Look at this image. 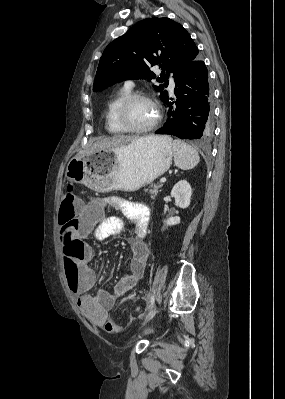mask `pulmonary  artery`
I'll return each instance as SVG.
<instances>
[{
  "instance_id": "e3ab8cb5",
  "label": "pulmonary artery",
  "mask_w": 285,
  "mask_h": 399,
  "mask_svg": "<svg viewBox=\"0 0 285 399\" xmlns=\"http://www.w3.org/2000/svg\"><path fill=\"white\" fill-rule=\"evenodd\" d=\"M124 86H125V88L131 90L133 88L134 84L132 81H126ZM174 88H175V83H174L173 79H170L169 89L171 91H173Z\"/></svg>"
}]
</instances>
